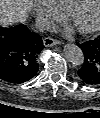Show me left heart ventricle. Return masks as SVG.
Masks as SVG:
<instances>
[{
    "label": "left heart ventricle",
    "mask_w": 100,
    "mask_h": 118,
    "mask_svg": "<svg viewBox=\"0 0 100 118\" xmlns=\"http://www.w3.org/2000/svg\"><path fill=\"white\" fill-rule=\"evenodd\" d=\"M100 3L99 0H90L75 16L73 25L77 28H87L94 24Z\"/></svg>",
    "instance_id": "obj_1"
}]
</instances>
